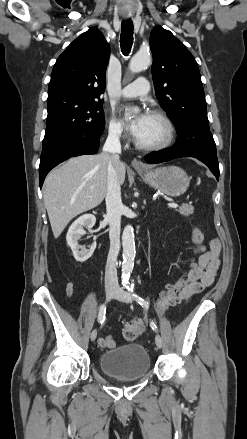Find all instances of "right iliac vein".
<instances>
[{"mask_svg": "<svg viewBox=\"0 0 247 439\" xmlns=\"http://www.w3.org/2000/svg\"><path fill=\"white\" fill-rule=\"evenodd\" d=\"M105 293H106V301L108 302L114 297L116 293V289L113 287H107ZM96 337H97V330L94 329L91 333V340L94 341Z\"/></svg>", "mask_w": 247, "mask_h": 439, "instance_id": "1", "label": "right iliac vein"}]
</instances>
